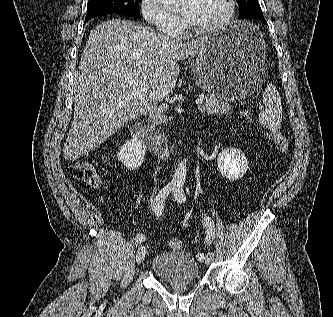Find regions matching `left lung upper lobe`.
<instances>
[{
    "label": "left lung upper lobe",
    "mask_w": 333,
    "mask_h": 317,
    "mask_svg": "<svg viewBox=\"0 0 333 317\" xmlns=\"http://www.w3.org/2000/svg\"><path fill=\"white\" fill-rule=\"evenodd\" d=\"M239 5V18L253 19L263 16L261 7L257 0H236Z\"/></svg>",
    "instance_id": "5c2ea615"
}]
</instances>
